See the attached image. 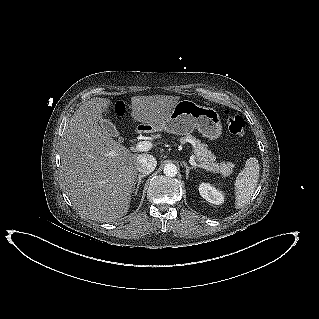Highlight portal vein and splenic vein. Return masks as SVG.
<instances>
[{
    "label": "portal vein and splenic vein",
    "instance_id": "1",
    "mask_svg": "<svg viewBox=\"0 0 319 319\" xmlns=\"http://www.w3.org/2000/svg\"><path fill=\"white\" fill-rule=\"evenodd\" d=\"M152 147H153V144H152V143H150V142H148V141H140V142H138V143L136 144L135 150H136V151H141V152H143V151H148V150H150ZM189 163H190L193 167H195V168H197V167L199 168V167H200V165H198V164L195 162V160H194L193 157H191V158L189 159Z\"/></svg>",
    "mask_w": 319,
    "mask_h": 319
}]
</instances>
